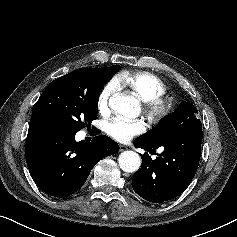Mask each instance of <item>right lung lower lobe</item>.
Here are the masks:
<instances>
[{
	"mask_svg": "<svg viewBox=\"0 0 237 237\" xmlns=\"http://www.w3.org/2000/svg\"><path fill=\"white\" fill-rule=\"evenodd\" d=\"M75 134L51 128L28 132L25 156L29 172L38 187L51 196L63 198L78 191L95 164L119 150L105 135L86 143L76 142Z\"/></svg>",
	"mask_w": 237,
	"mask_h": 237,
	"instance_id": "right-lung-lower-lobe-1",
	"label": "right lung lower lobe"
}]
</instances>
